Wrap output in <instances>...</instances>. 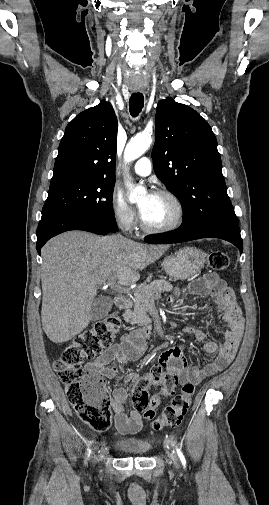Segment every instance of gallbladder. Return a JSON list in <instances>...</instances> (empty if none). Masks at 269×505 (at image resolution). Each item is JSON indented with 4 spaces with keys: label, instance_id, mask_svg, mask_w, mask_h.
Instances as JSON below:
<instances>
[{
    "label": "gallbladder",
    "instance_id": "1",
    "mask_svg": "<svg viewBox=\"0 0 269 505\" xmlns=\"http://www.w3.org/2000/svg\"><path fill=\"white\" fill-rule=\"evenodd\" d=\"M112 304V300L109 297L101 296L96 298L90 309L91 320L96 321L106 317L112 308Z\"/></svg>",
    "mask_w": 269,
    "mask_h": 505
}]
</instances>
